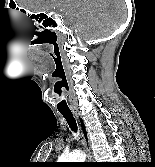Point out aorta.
<instances>
[{
	"label": "aorta",
	"mask_w": 155,
	"mask_h": 167,
	"mask_svg": "<svg viewBox=\"0 0 155 167\" xmlns=\"http://www.w3.org/2000/svg\"><path fill=\"white\" fill-rule=\"evenodd\" d=\"M86 158V155L81 151H73L68 154H63L59 157L60 162H83Z\"/></svg>",
	"instance_id": "762f6f07"
}]
</instances>
